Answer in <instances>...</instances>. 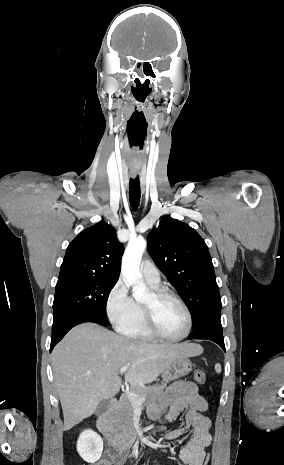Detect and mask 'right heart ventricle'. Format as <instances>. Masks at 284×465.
<instances>
[{
    "label": "right heart ventricle",
    "mask_w": 284,
    "mask_h": 465,
    "mask_svg": "<svg viewBox=\"0 0 284 465\" xmlns=\"http://www.w3.org/2000/svg\"><path fill=\"white\" fill-rule=\"evenodd\" d=\"M157 287V286H153ZM145 321V316L143 313L142 306L138 305L137 312L133 320L127 325L120 328L121 333L124 337L137 340V341H151L153 338L146 332L143 322Z\"/></svg>",
    "instance_id": "e07e8e85"
}]
</instances>
